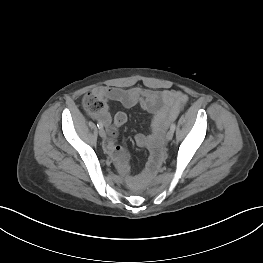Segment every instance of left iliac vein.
I'll return each instance as SVG.
<instances>
[{
	"instance_id": "4c4485c4",
	"label": "left iliac vein",
	"mask_w": 263,
	"mask_h": 263,
	"mask_svg": "<svg viewBox=\"0 0 263 263\" xmlns=\"http://www.w3.org/2000/svg\"><path fill=\"white\" fill-rule=\"evenodd\" d=\"M173 135H174V131L169 130V131L167 132V134H166V140H167V141L172 140Z\"/></svg>"
}]
</instances>
